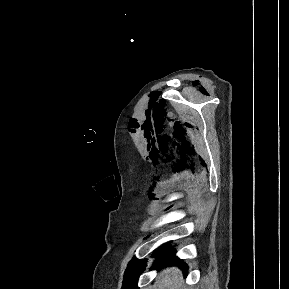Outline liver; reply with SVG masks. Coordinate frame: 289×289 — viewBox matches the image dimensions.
Listing matches in <instances>:
<instances>
[{"mask_svg":"<svg viewBox=\"0 0 289 289\" xmlns=\"http://www.w3.org/2000/svg\"><path fill=\"white\" fill-rule=\"evenodd\" d=\"M182 279V273L178 268H167L159 276L154 289H177Z\"/></svg>","mask_w":289,"mask_h":289,"instance_id":"1","label":"liver"}]
</instances>
